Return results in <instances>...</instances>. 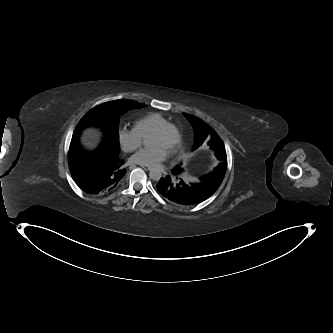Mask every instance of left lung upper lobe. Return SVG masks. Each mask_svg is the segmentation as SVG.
<instances>
[{
    "mask_svg": "<svg viewBox=\"0 0 333 333\" xmlns=\"http://www.w3.org/2000/svg\"><path fill=\"white\" fill-rule=\"evenodd\" d=\"M184 115L190 121L194 129L195 144L193 150L197 149L204 142L208 144L214 143L221 147V154L216 156L220 161L219 165L212 172L199 177V182L206 183L209 187L216 191L222 183L227 169V156L223 143L217 133L210 126L192 115ZM173 170L179 174L183 171L180 166H176Z\"/></svg>",
    "mask_w": 333,
    "mask_h": 333,
    "instance_id": "1",
    "label": "left lung upper lobe"
}]
</instances>
